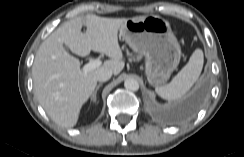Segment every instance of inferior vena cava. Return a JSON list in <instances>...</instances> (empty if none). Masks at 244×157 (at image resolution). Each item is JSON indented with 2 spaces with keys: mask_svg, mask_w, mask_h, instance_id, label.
I'll list each match as a JSON object with an SVG mask.
<instances>
[{
  "mask_svg": "<svg viewBox=\"0 0 244 157\" xmlns=\"http://www.w3.org/2000/svg\"><path fill=\"white\" fill-rule=\"evenodd\" d=\"M112 76V71L109 70V69H101L96 78L98 81L100 82H105V81H108Z\"/></svg>",
  "mask_w": 244,
  "mask_h": 157,
  "instance_id": "1",
  "label": "inferior vena cava"
}]
</instances>
